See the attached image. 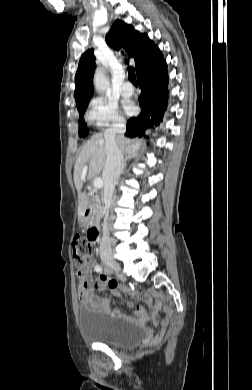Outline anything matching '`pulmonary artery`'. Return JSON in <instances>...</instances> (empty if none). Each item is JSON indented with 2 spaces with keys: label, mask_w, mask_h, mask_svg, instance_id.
I'll return each instance as SVG.
<instances>
[{
  "label": "pulmonary artery",
  "mask_w": 252,
  "mask_h": 390,
  "mask_svg": "<svg viewBox=\"0 0 252 390\" xmlns=\"http://www.w3.org/2000/svg\"><path fill=\"white\" fill-rule=\"evenodd\" d=\"M122 94L129 97L133 94V85L130 82H125L122 86Z\"/></svg>",
  "instance_id": "pulmonary-artery-1"
}]
</instances>
